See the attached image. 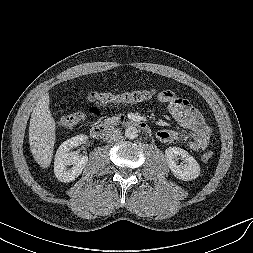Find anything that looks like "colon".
<instances>
[{
    "label": "colon",
    "instance_id": "obj_1",
    "mask_svg": "<svg viewBox=\"0 0 253 253\" xmlns=\"http://www.w3.org/2000/svg\"><path fill=\"white\" fill-rule=\"evenodd\" d=\"M155 91L151 89L133 90L123 93H111L105 91H96L92 94L93 101L102 105H121L150 100L154 97ZM82 119L81 113H70L61 116L59 126L61 128H72ZM213 157L212 151L203 154V161L207 162Z\"/></svg>",
    "mask_w": 253,
    "mask_h": 253
}]
</instances>
